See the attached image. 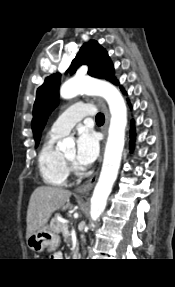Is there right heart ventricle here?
<instances>
[{"label": "right heart ventricle", "mask_w": 175, "mask_h": 287, "mask_svg": "<svg viewBox=\"0 0 175 287\" xmlns=\"http://www.w3.org/2000/svg\"><path fill=\"white\" fill-rule=\"evenodd\" d=\"M59 138L49 133L38 154L40 175L43 181L51 186H64L69 177V169L64 157L55 146Z\"/></svg>", "instance_id": "right-heart-ventricle-1"}]
</instances>
